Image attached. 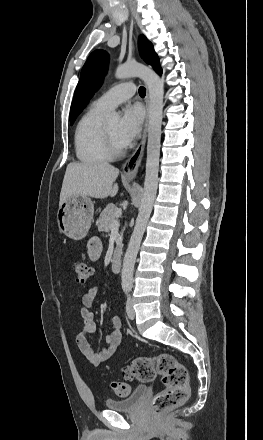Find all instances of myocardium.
<instances>
[{
  "mask_svg": "<svg viewBox=\"0 0 263 440\" xmlns=\"http://www.w3.org/2000/svg\"><path fill=\"white\" fill-rule=\"evenodd\" d=\"M103 138L106 151L110 155V157H119L124 154L125 148H118L111 137L109 128L107 126V122L103 123Z\"/></svg>",
  "mask_w": 263,
  "mask_h": 440,
  "instance_id": "myocardium-1",
  "label": "myocardium"
}]
</instances>
